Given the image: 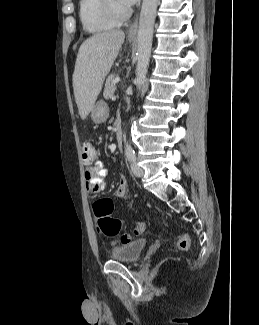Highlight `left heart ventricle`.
<instances>
[{
  "label": "left heart ventricle",
  "instance_id": "obj_1",
  "mask_svg": "<svg viewBox=\"0 0 259 325\" xmlns=\"http://www.w3.org/2000/svg\"><path fill=\"white\" fill-rule=\"evenodd\" d=\"M115 2L120 8H123L126 6L125 4H123V2L121 0H115Z\"/></svg>",
  "mask_w": 259,
  "mask_h": 325
}]
</instances>
